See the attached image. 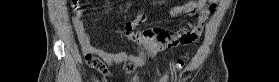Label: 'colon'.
<instances>
[{"instance_id":"colon-1","label":"colon","mask_w":279,"mask_h":82,"mask_svg":"<svg viewBox=\"0 0 279 82\" xmlns=\"http://www.w3.org/2000/svg\"><path fill=\"white\" fill-rule=\"evenodd\" d=\"M206 2L209 3V4L216 5L218 3V0H211V1H206ZM187 60H188V55L187 54L181 56L180 58L177 59L176 64H175V68L181 69L185 65ZM101 68H102V66H101Z\"/></svg>"}]
</instances>
